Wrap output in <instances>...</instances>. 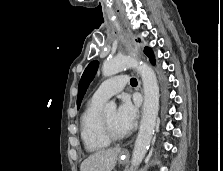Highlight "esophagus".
Here are the masks:
<instances>
[{
    "label": "esophagus",
    "instance_id": "34e87169",
    "mask_svg": "<svg viewBox=\"0 0 223 171\" xmlns=\"http://www.w3.org/2000/svg\"><path fill=\"white\" fill-rule=\"evenodd\" d=\"M114 25H115V30L116 31H120V38L121 39H125V43H130V38H129V35L128 34H125V31H124V27L122 26L123 25V22L122 21H119V18L118 17H115L114 18ZM128 50H133V45H128ZM136 50L134 48V53L137 55L136 53ZM142 91V90H141ZM124 152H127V150H124Z\"/></svg>",
    "mask_w": 223,
    "mask_h": 171
}]
</instances>
